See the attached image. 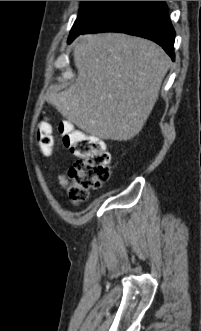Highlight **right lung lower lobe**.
I'll return each instance as SVG.
<instances>
[{
    "label": "right lung lower lobe",
    "instance_id": "obj_1",
    "mask_svg": "<svg viewBox=\"0 0 201 331\" xmlns=\"http://www.w3.org/2000/svg\"><path fill=\"white\" fill-rule=\"evenodd\" d=\"M98 32H121L150 39L175 59V31L165 1H115L80 34Z\"/></svg>",
    "mask_w": 201,
    "mask_h": 331
}]
</instances>
